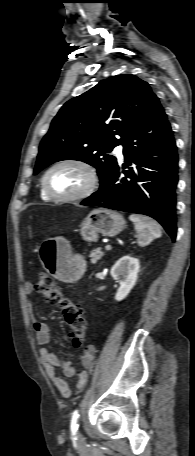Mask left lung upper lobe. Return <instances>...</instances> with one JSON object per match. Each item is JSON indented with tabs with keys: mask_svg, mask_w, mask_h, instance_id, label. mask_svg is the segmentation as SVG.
<instances>
[{
	"mask_svg": "<svg viewBox=\"0 0 195 456\" xmlns=\"http://www.w3.org/2000/svg\"><path fill=\"white\" fill-rule=\"evenodd\" d=\"M155 98L147 82L121 74L69 100L40 143L34 174L56 161L74 159L94 166L102 183L117 164L110 152Z\"/></svg>",
	"mask_w": 195,
	"mask_h": 456,
	"instance_id": "obj_1",
	"label": "left lung upper lobe"
}]
</instances>
